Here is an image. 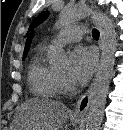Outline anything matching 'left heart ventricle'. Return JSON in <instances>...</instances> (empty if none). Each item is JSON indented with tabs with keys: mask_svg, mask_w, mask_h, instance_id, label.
<instances>
[{
	"mask_svg": "<svg viewBox=\"0 0 123 130\" xmlns=\"http://www.w3.org/2000/svg\"><path fill=\"white\" fill-rule=\"evenodd\" d=\"M66 73V69H63V70H61V74H65Z\"/></svg>",
	"mask_w": 123,
	"mask_h": 130,
	"instance_id": "left-heart-ventricle-1",
	"label": "left heart ventricle"
}]
</instances>
